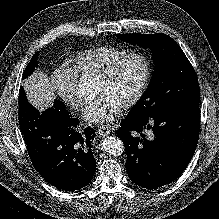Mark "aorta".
Returning <instances> with one entry per match:
<instances>
[{"mask_svg":"<svg viewBox=\"0 0 219 219\" xmlns=\"http://www.w3.org/2000/svg\"><path fill=\"white\" fill-rule=\"evenodd\" d=\"M103 150L112 156H119L124 152V144L118 137L108 136L102 141Z\"/></svg>","mask_w":219,"mask_h":219,"instance_id":"762f6f07","label":"aorta"}]
</instances>
